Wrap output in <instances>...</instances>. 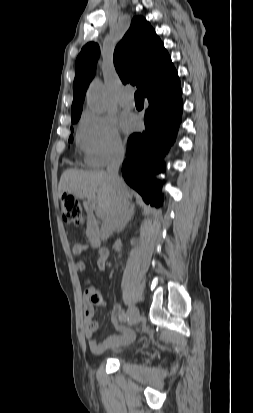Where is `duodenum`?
Listing matches in <instances>:
<instances>
[{
  "label": "duodenum",
  "mask_w": 253,
  "mask_h": 413,
  "mask_svg": "<svg viewBox=\"0 0 253 413\" xmlns=\"http://www.w3.org/2000/svg\"><path fill=\"white\" fill-rule=\"evenodd\" d=\"M85 208H86V211H87L88 215L90 216V225H89L87 234H88L89 238L91 239V241L98 245L99 228H98V225H97V223L94 219L95 207L90 202H86L85 203ZM98 249L103 253L108 251L105 247H102V246H98Z\"/></svg>",
  "instance_id": "duodenum-1"
}]
</instances>
